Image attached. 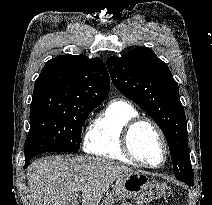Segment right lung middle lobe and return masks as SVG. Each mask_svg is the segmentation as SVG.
I'll list each match as a JSON object with an SVG mask.
<instances>
[{
    "label": "right lung middle lobe",
    "instance_id": "dd1d6c3e",
    "mask_svg": "<svg viewBox=\"0 0 212 205\" xmlns=\"http://www.w3.org/2000/svg\"><path fill=\"white\" fill-rule=\"evenodd\" d=\"M97 106L99 105H78L62 109L31 108L25 159L46 152L78 151L82 126Z\"/></svg>",
    "mask_w": 212,
    "mask_h": 205
}]
</instances>
